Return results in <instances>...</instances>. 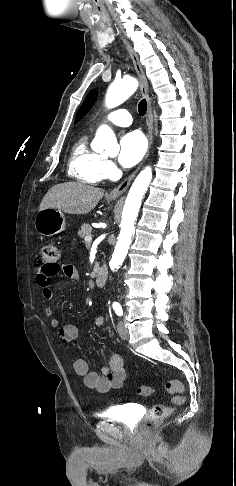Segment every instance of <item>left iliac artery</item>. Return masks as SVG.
<instances>
[{"label":"left iliac artery","instance_id":"left-iliac-artery-1","mask_svg":"<svg viewBox=\"0 0 236 486\" xmlns=\"http://www.w3.org/2000/svg\"><path fill=\"white\" fill-rule=\"evenodd\" d=\"M113 309L116 313L117 316H122L123 315V310L121 305L118 302L113 303Z\"/></svg>","mask_w":236,"mask_h":486}]
</instances>
